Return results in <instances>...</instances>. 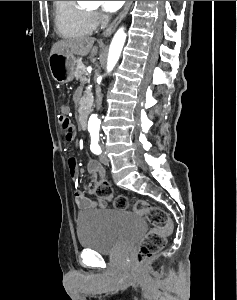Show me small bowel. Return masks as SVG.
<instances>
[{
	"label": "small bowel",
	"mask_w": 237,
	"mask_h": 300,
	"mask_svg": "<svg viewBox=\"0 0 237 300\" xmlns=\"http://www.w3.org/2000/svg\"><path fill=\"white\" fill-rule=\"evenodd\" d=\"M61 111L63 114L69 113V108L67 106H62ZM68 168H69V174L71 177V180L73 182L74 187V195L77 205L81 209H92V208H103L106 206V203L104 201L91 199L87 196V194H92L94 191V185H90L89 191L83 192L78 187V165L76 158L71 156L68 159ZM88 172L91 175L92 178L94 177H104V169L103 167L96 161H90L88 163Z\"/></svg>",
	"instance_id": "small-bowel-1"
}]
</instances>
